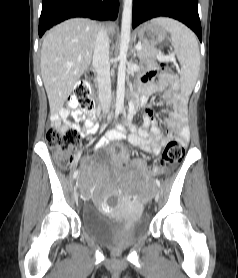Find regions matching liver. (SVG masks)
I'll return each mask as SVG.
<instances>
[{"mask_svg": "<svg viewBox=\"0 0 238 278\" xmlns=\"http://www.w3.org/2000/svg\"><path fill=\"white\" fill-rule=\"evenodd\" d=\"M108 29L114 33V26ZM99 25L96 21L74 18L53 27L41 48V76L50 112H58L74 85L91 64Z\"/></svg>", "mask_w": 238, "mask_h": 278, "instance_id": "obj_1", "label": "liver"}]
</instances>
